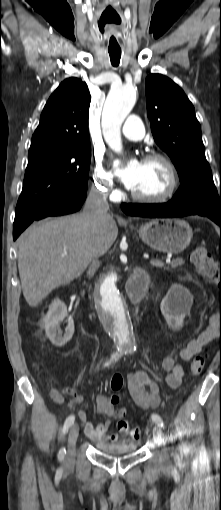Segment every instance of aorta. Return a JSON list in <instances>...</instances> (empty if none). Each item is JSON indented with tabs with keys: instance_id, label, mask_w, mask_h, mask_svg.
<instances>
[{
	"instance_id": "762f6f07",
	"label": "aorta",
	"mask_w": 221,
	"mask_h": 510,
	"mask_svg": "<svg viewBox=\"0 0 221 510\" xmlns=\"http://www.w3.org/2000/svg\"><path fill=\"white\" fill-rule=\"evenodd\" d=\"M136 88L123 85L113 88L102 112V131L107 144L116 152L122 149L120 129L136 102ZM98 309L116 344L122 349L135 346L132 319L119 277L112 272L106 275L97 288Z\"/></svg>"
}]
</instances>
